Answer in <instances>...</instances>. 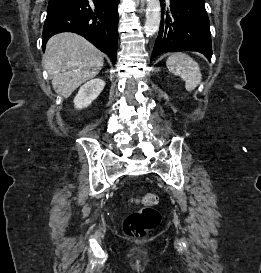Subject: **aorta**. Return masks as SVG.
<instances>
[{"label":"aorta","instance_id":"762f6f07","mask_svg":"<svg viewBox=\"0 0 261 273\" xmlns=\"http://www.w3.org/2000/svg\"><path fill=\"white\" fill-rule=\"evenodd\" d=\"M161 7L159 0H147L145 33L147 36L155 34L160 26Z\"/></svg>","mask_w":261,"mask_h":273}]
</instances>
